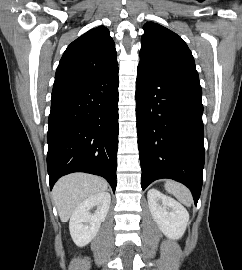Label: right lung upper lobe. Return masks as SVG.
<instances>
[{
	"mask_svg": "<svg viewBox=\"0 0 242 270\" xmlns=\"http://www.w3.org/2000/svg\"><path fill=\"white\" fill-rule=\"evenodd\" d=\"M118 67L115 44L103 26L72 42L58 65L52 95L76 88Z\"/></svg>",
	"mask_w": 242,
	"mask_h": 270,
	"instance_id": "right-lung-upper-lobe-1",
	"label": "right lung upper lobe"
}]
</instances>
